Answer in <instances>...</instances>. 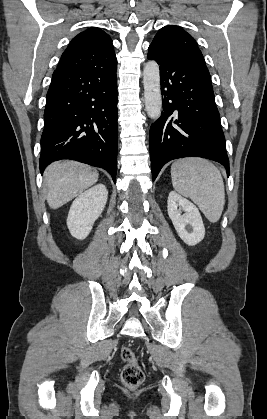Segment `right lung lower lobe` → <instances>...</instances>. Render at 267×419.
Masks as SVG:
<instances>
[{
	"instance_id": "1",
	"label": "right lung lower lobe",
	"mask_w": 267,
	"mask_h": 419,
	"mask_svg": "<svg viewBox=\"0 0 267 419\" xmlns=\"http://www.w3.org/2000/svg\"><path fill=\"white\" fill-rule=\"evenodd\" d=\"M117 61L95 69H56L47 93L40 170L59 159L100 167L116 182Z\"/></svg>"
}]
</instances>
